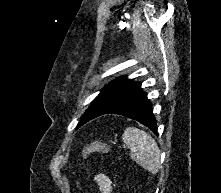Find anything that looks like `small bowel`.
<instances>
[{
    "label": "small bowel",
    "mask_w": 221,
    "mask_h": 193,
    "mask_svg": "<svg viewBox=\"0 0 221 193\" xmlns=\"http://www.w3.org/2000/svg\"><path fill=\"white\" fill-rule=\"evenodd\" d=\"M94 182L97 184L100 193H112V182L106 174H96L94 176Z\"/></svg>",
    "instance_id": "small-bowel-1"
}]
</instances>
